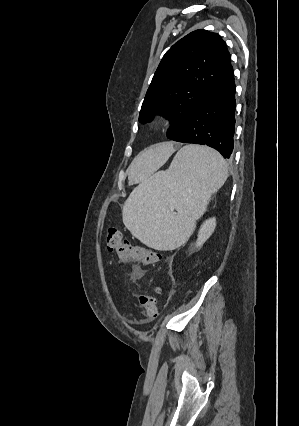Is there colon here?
<instances>
[{
  "mask_svg": "<svg viewBox=\"0 0 299 426\" xmlns=\"http://www.w3.org/2000/svg\"><path fill=\"white\" fill-rule=\"evenodd\" d=\"M106 249L115 252L123 262H137L151 265L158 262L161 255L153 250L140 245H133L116 227H109L106 236ZM160 288L155 287L152 293L141 294L139 304L142 315L147 321L154 320L158 315L156 294Z\"/></svg>",
  "mask_w": 299,
  "mask_h": 426,
  "instance_id": "5ec220e1",
  "label": "colon"
}]
</instances>
